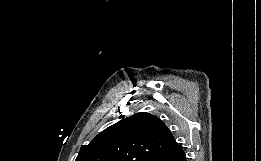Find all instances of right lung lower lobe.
Returning a JSON list of instances; mask_svg holds the SVG:
<instances>
[{
  "mask_svg": "<svg viewBox=\"0 0 261 161\" xmlns=\"http://www.w3.org/2000/svg\"><path fill=\"white\" fill-rule=\"evenodd\" d=\"M155 161H186V156L181 148L180 150H178L170 155L161 157Z\"/></svg>",
  "mask_w": 261,
  "mask_h": 161,
  "instance_id": "1",
  "label": "right lung lower lobe"
}]
</instances>
